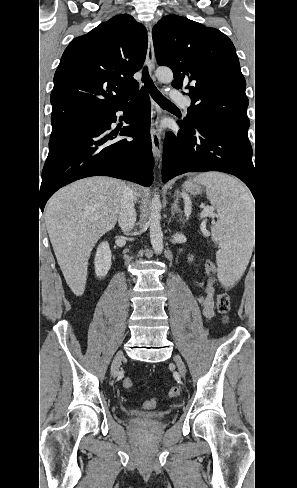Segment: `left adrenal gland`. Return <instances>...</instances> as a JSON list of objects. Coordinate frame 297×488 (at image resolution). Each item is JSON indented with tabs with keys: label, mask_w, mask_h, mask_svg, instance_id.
Masks as SVG:
<instances>
[{
	"label": "left adrenal gland",
	"mask_w": 297,
	"mask_h": 488,
	"mask_svg": "<svg viewBox=\"0 0 297 488\" xmlns=\"http://www.w3.org/2000/svg\"><path fill=\"white\" fill-rule=\"evenodd\" d=\"M179 197H180V192L179 190H176L175 191V194H174V203L172 204V207H171V214L172 216L175 215V213H180L181 210L178 206V203H179Z\"/></svg>",
	"instance_id": "1"
}]
</instances>
